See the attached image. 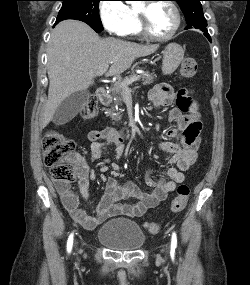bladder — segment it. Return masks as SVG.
Wrapping results in <instances>:
<instances>
[{"label": "bladder", "instance_id": "1", "mask_svg": "<svg viewBox=\"0 0 250 285\" xmlns=\"http://www.w3.org/2000/svg\"><path fill=\"white\" fill-rule=\"evenodd\" d=\"M97 240L112 250L133 251L142 247L145 235L137 222L127 218H114L98 229Z\"/></svg>", "mask_w": 250, "mask_h": 285}]
</instances>
